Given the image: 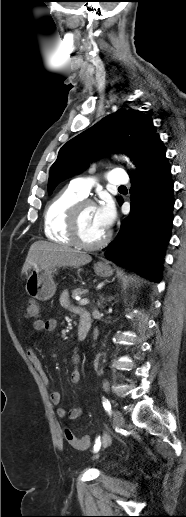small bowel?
<instances>
[{"label":"small bowel","mask_w":186,"mask_h":517,"mask_svg":"<svg viewBox=\"0 0 186 517\" xmlns=\"http://www.w3.org/2000/svg\"><path fill=\"white\" fill-rule=\"evenodd\" d=\"M61 303L63 306L71 309L72 311H77L78 309L73 307L69 301L68 293L63 292L61 295ZM57 327V321L55 319H46V320H37L34 322V329L38 332H52ZM27 356L29 360L35 365V367L38 369L40 376L42 378L43 383L46 387L52 388V381L48 374L44 371L41 361L39 359L38 353L35 349L29 348L27 350ZM72 362L74 364L73 371L71 373L70 379L71 382L76 384L80 381L81 374L79 370V362L80 357L77 352H75L72 356ZM51 401L54 405L59 406L57 409V414L60 418H70V419H76L82 414V409L79 407L68 409L66 407L60 406L63 402V396L62 393L56 390L51 391L50 394Z\"/></svg>","instance_id":"obj_1"}]
</instances>
